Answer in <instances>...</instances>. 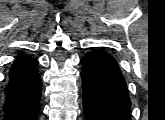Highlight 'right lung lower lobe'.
<instances>
[{
	"mask_svg": "<svg viewBox=\"0 0 165 120\" xmlns=\"http://www.w3.org/2000/svg\"><path fill=\"white\" fill-rule=\"evenodd\" d=\"M38 61L27 55L16 57L5 88L4 120H37L42 95Z\"/></svg>",
	"mask_w": 165,
	"mask_h": 120,
	"instance_id": "1",
	"label": "right lung lower lobe"
}]
</instances>
